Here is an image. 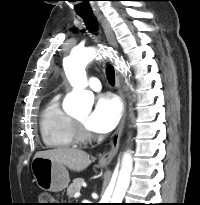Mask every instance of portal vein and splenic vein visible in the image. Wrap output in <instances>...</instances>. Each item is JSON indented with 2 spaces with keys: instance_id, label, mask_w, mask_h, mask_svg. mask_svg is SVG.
Masks as SVG:
<instances>
[{
  "instance_id": "18ae733b",
  "label": "portal vein and splenic vein",
  "mask_w": 200,
  "mask_h": 205,
  "mask_svg": "<svg viewBox=\"0 0 200 205\" xmlns=\"http://www.w3.org/2000/svg\"><path fill=\"white\" fill-rule=\"evenodd\" d=\"M80 195H81L80 192H76V193L74 194V198H78Z\"/></svg>"
}]
</instances>
